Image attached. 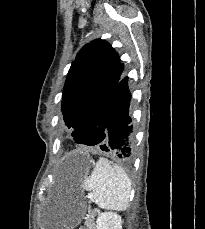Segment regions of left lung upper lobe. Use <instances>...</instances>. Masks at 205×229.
<instances>
[{"label":"left lung upper lobe","mask_w":205,"mask_h":229,"mask_svg":"<svg viewBox=\"0 0 205 229\" xmlns=\"http://www.w3.org/2000/svg\"><path fill=\"white\" fill-rule=\"evenodd\" d=\"M123 69L119 55L104 40L96 39L78 52L68 72L62 100L64 122L72 129L76 143L96 145L89 132L103 125L108 101Z\"/></svg>","instance_id":"1"}]
</instances>
